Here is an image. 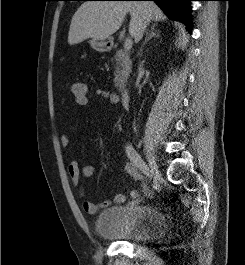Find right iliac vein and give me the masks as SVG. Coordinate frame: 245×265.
<instances>
[{"label":"right iliac vein","instance_id":"63e3f726","mask_svg":"<svg viewBox=\"0 0 245 265\" xmlns=\"http://www.w3.org/2000/svg\"><path fill=\"white\" fill-rule=\"evenodd\" d=\"M147 160L150 168V174L154 179H157L159 177V169L156 164V160L152 154H147Z\"/></svg>","mask_w":245,"mask_h":265}]
</instances>
